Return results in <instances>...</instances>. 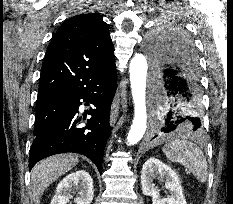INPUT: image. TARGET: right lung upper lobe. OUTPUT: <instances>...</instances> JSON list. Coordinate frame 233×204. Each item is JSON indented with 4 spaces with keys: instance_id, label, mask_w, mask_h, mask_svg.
Returning a JSON list of instances; mask_svg holds the SVG:
<instances>
[{
    "instance_id": "obj_1",
    "label": "right lung upper lobe",
    "mask_w": 233,
    "mask_h": 204,
    "mask_svg": "<svg viewBox=\"0 0 233 204\" xmlns=\"http://www.w3.org/2000/svg\"><path fill=\"white\" fill-rule=\"evenodd\" d=\"M115 68L108 25L97 13L65 21L50 42L41 69L38 102L72 92Z\"/></svg>"
}]
</instances>
